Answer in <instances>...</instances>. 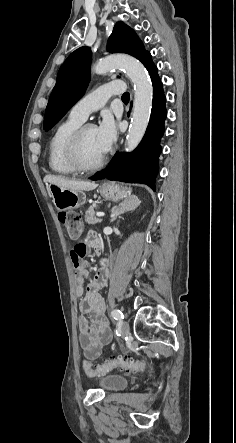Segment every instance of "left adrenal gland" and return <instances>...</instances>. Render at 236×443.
Instances as JSON below:
<instances>
[{"label": "left adrenal gland", "mask_w": 236, "mask_h": 443, "mask_svg": "<svg viewBox=\"0 0 236 443\" xmlns=\"http://www.w3.org/2000/svg\"><path fill=\"white\" fill-rule=\"evenodd\" d=\"M132 206L127 204L125 201L122 202L119 207H114L111 211V219L110 222H113L117 219L118 216L124 214L127 211L132 210Z\"/></svg>", "instance_id": "obj_1"}]
</instances>
